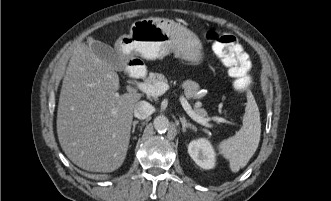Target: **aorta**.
Masks as SVG:
<instances>
[{"label":"aorta","instance_id":"obj_1","mask_svg":"<svg viewBox=\"0 0 331 201\" xmlns=\"http://www.w3.org/2000/svg\"><path fill=\"white\" fill-rule=\"evenodd\" d=\"M154 128L158 132H166L169 129V120L165 116H157L153 121Z\"/></svg>","mask_w":331,"mask_h":201}]
</instances>
